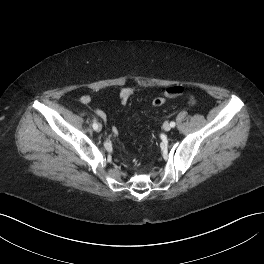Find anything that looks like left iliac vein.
I'll list each match as a JSON object with an SVG mask.
<instances>
[{"instance_id": "obj_1", "label": "left iliac vein", "mask_w": 264, "mask_h": 264, "mask_svg": "<svg viewBox=\"0 0 264 264\" xmlns=\"http://www.w3.org/2000/svg\"><path fill=\"white\" fill-rule=\"evenodd\" d=\"M163 129H164L165 131H170V130H171V125H170L168 122H165V123L163 124Z\"/></svg>"}]
</instances>
